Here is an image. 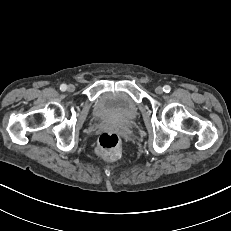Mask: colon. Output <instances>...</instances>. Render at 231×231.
Listing matches in <instances>:
<instances>
[{"label":"colon","mask_w":231,"mask_h":231,"mask_svg":"<svg viewBox=\"0 0 231 231\" xmlns=\"http://www.w3.org/2000/svg\"><path fill=\"white\" fill-rule=\"evenodd\" d=\"M120 138L114 132H103L98 139L96 151L107 158H115L120 150Z\"/></svg>","instance_id":"5ec220e1"}]
</instances>
